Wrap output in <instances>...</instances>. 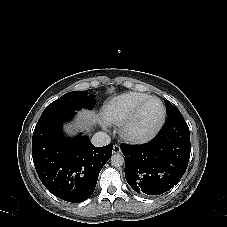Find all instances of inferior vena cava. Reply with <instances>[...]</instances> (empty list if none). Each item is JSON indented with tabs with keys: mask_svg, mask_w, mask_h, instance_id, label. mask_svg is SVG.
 I'll return each mask as SVG.
<instances>
[{
	"mask_svg": "<svg viewBox=\"0 0 227 227\" xmlns=\"http://www.w3.org/2000/svg\"><path fill=\"white\" fill-rule=\"evenodd\" d=\"M91 142L94 146L100 147L108 145L111 142V138L107 133L100 131L93 135Z\"/></svg>",
	"mask_w": 227,
	"mask_h": 227,
	"instance_id": "1",
	"label": "inferior vena cava"
}]
</instances>
